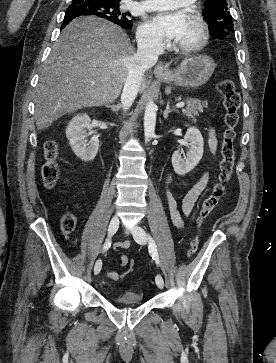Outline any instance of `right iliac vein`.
<instances>
[{
	"label": "right iliac vein",
	"mask_w": 276,
	"mask_h": 363,
	"mask_svg": "<svg viewBox=\"0 0 276 363\" xmlns=\"http://www.w3.org/2000/svg\"><path fill=\"white\" fill-rule=\"evenodd\" d=\"M119 227V218L118 216H113V218L111 219L110 223H109V227H108V235L112 236L116 233V231L118 230ZM102 263V261L100 259H98L95 263L94 266V272L96 273V267L100 266Z\"/></svg>",
	"instance_id": "obj_1"
}]
</instances>
